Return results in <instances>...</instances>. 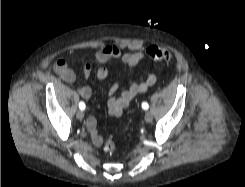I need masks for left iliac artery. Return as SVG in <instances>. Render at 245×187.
<instances>
[{
	"label": "left iliac artery",
	"instance_id": "obj_1",
	"mask_svg": "<svg viewBox=\"0 0 245 187\" xmlns=\"http://www.w3.org/2000/svg\"><path fill=\"white\" fill-rule=\"evenodd\" d=\"M142 108L145 109V110H147V109L149 108L148 103L143 102V103H142Z\"/></svg>",
	"mask_w": 245,
	"mask_h": 187
}]
</instances>
